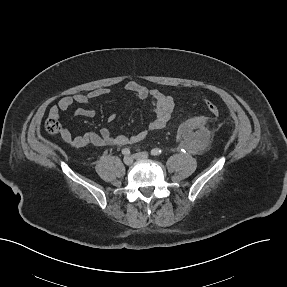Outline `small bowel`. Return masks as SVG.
I'll list each match as a JSON object with an SVG mask.
<instances>
[{
  "label": "small bowel",
  "instance_id": "1",
  "mask_svg": "<svg viewBox=\"0 0 287 287\" xmlns=\"http://www.w3.org/2000/svg\"><path fill=\"white\" fill-rule=\"evenodd\" d=\"M125 89L138 99L150 101L152 105L154 117L145 130L133 135H113L108 128H102L98 132L74 135L69 129L64 128L61 133L62 140L77 148L88 145L98 147L123 146L138 143L146 138L150 132L160 130L166 126L174 110V99L171 95L159 90L148 89L135 81H128L125 84ZM109 92L108 88H99L86 94L65 96L59 100L57 105L51 107L49 114L51 117L58 119L62 113L69 111L74 104H79L82 107L73 110L75 116L93 117L95 110L91 106V102L107 95ZM114 119V115L109 117L110 121H114Z\"/></svg>",
  "mask_w": 287,
  "mask_h": 287
}]
</instances>
